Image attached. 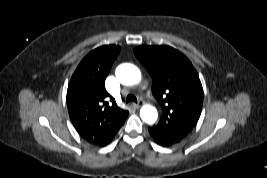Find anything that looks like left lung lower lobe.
I'll list each match as a JSON object with an SVG mask.
<instances>
[{"label": "left lung lower lobe", "instance_id": "left-lung-lower-lobe-1", "mask_svg": "<svg viewBox=\"0 0 267 178\" xmlns=\"http://www.w3.org/2000/svg\"><path fill=\"white\" fill-rule=\"evenodd\" d=\"M150 135L152 136V138L154 139V141L161 145V146H170L173 145L175 143H177L175 140L169 138L168 136H166L160 129H158L157 127H150L149 129Z\"/></svg>", "mask_w": 267, "mask_h": 178}]
</instances>
